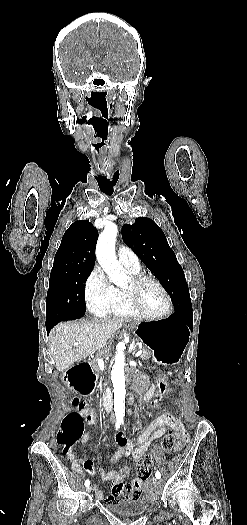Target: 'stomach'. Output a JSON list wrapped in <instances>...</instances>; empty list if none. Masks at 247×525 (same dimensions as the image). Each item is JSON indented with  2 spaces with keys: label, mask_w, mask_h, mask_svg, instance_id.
Returning a JSON list of instances; mask_svg holds the SVG:
<instances>
[{
  "label": "stomach",
  "mask_w": 247,
  "mask_h": 525,
  "mask_svg": "<svg viewBox=\"0 0 247 525\" xmlns=\"http://www.w3.org/2000/svg\"><path fill=\"white\" fill-rule=\"evenodd\" d=\"M134 332L153 351V358L165 365L178 364L189 341L187 326L171 319L137 323Z\"/></svg>",
  "instance_id": "0dacf381"
}]
</instances>
